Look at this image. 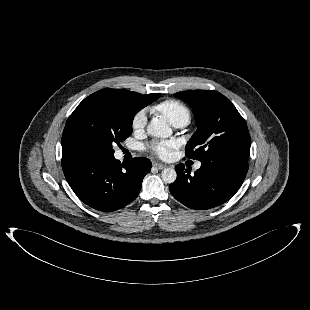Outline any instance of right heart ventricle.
<instances>
[{
	"label": "right heart ventricle",
	"mask_w": 310,
	"mask_h": 310,
	"mask_svg": "<svg viewBox=\"0 0 310 310\" xmlns=\"http://www.w3.org/2000/svg\"><path fill=\"white\" fill-rule=\"evenodd\" d=\"M152 111L163 116L172 125H187L191 120L190 109L181 101L167 99L152 107Z\"/></svg>",
	"instance_id": "right-heart-ventricle-1"
}]
</instances>
